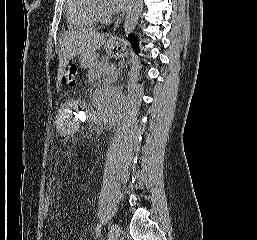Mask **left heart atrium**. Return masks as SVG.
I'll return each mask as SVG.
<instances>
[{
	"label": "left heart atrium",
	"mask_w": 257,
	"mask_h": 240,
	"mask_svg": "<svg viewBox=\"0 0 257 240\" xmlns=\"http://www.w3.org/2000/svg\"><path fill=\"white\" fill-rule=\"evenodd\" d=\"M130 0H108L109 6L113 10H121L127 6Z\"/></svg>",
	"instance_id": "obj_1"
}]
</instances>
